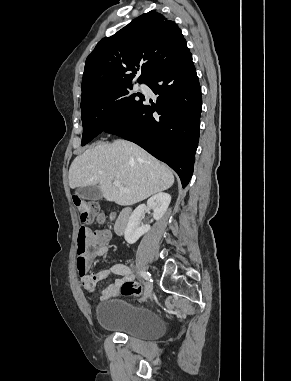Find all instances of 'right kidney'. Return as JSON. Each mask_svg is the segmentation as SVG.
Returning a JSON list of instances; mask_svg holds the SVG:
<instances>
[{
	"label": "right kidney",
	"instance_id": "obj_1",
	"mask_svg": "<svg viewBox=\"0 0 291 381\" xmlns=\"http://www.w3.org/2000/svg\"><path fill=\"white\" fill-rule=\"evenodd\" d=\"M171 202V196L167 193H157L148 199L147 205L138 206L130 216L125 229L124 237L127 243L134 244L142 235L150 230V225L143 224L146 207L153 210L155 220H160L167 211Z\"/></svg>",
	"mask_w": 291,
	"mask_h": 381
}]
</instances>
